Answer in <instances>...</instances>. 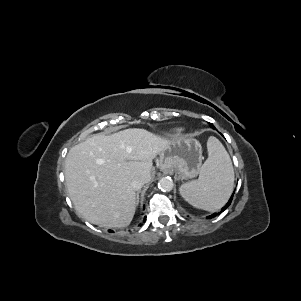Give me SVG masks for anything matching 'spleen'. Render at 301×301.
Instances as JSON below:
<instances>
[{"label":"spleen","mask_w":301,"mask_h":301,"mask_svg":"<svg viewBox=\"0 0 301 301\" xmlns=\"http://www.w3.org/2000/svg\"><path fill=\"white\" fill-rule=\"evenodd\" d=\"M208 158L199 178L181 185V196L193 207L214 212L229 199L234 185V170L229 154L215 137L207 141Z\"/></svg>","instance_id":"3e777b00"}]
</instances>
